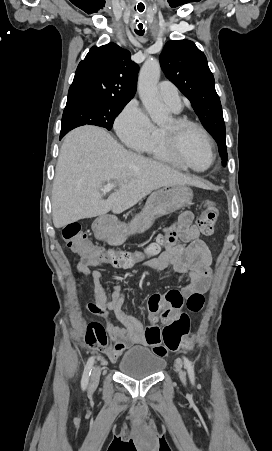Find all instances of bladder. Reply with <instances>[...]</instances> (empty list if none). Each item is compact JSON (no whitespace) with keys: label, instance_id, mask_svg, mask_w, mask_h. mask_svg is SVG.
Masks as SVG:
<instances>
[{"label":"bladder","instance_id":"31cf9c89","mask_svg":"<svg viewBox=\"0 0 272 451\" xmlns=\"http://www.w3.org/2000/svg\"><path fill=\"white\" fill-rule=\"evenodd\" d=\"M164 367L165 359L161 354L139 345L126 350L118 363L119 373L132 377L156 375Z\"/></svg>","mask_w":272,"mask_h":451}]
</instances>
